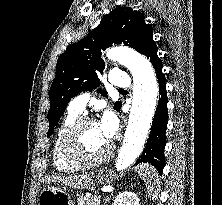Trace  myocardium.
Returning a JSON list of instances; mask_svg holds the SVG:
<instances>
[{
  "label": "myocardium",
  "mask_w": 222,
  "mask_h": 205,
  "mask_svg": "<svg viewBox=\"0 0 222 205\" xmlns=\"http://www.w3.org/2000/svg\"><path fill=\"white\" fill-rule=\"evenodd\" d=\"M88 123H96V121L88 116H83L76 118V120L71 124V126L67 129L64 134L62 148L66 158L80 166H93L100 164L107 160L112 151H113V143L109 141V144L106 150L99 156L88 158L84 157L80 151L76 147V137L82 127Z\"/></svg>",
  "instance_id": "f54148a6"
}]
</instances>
